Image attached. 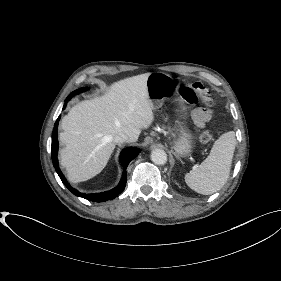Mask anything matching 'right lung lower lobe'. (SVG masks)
<instances>
[{"label": "right lung lower lobe", "instance_id": "obj_1", "mask_svg": "<svg viewBox=\"0 0 281 281\" xmlns=\"http://www.w3.org/2000/svg\"><path fill=\"white\" fill-rule=\"evenodd\" d=\"M72 98V95H69L66 98V102L69 101ZM66 107V105H64L63 109ZM60 117H58L57 121L55 122L54 125V129L52 132V150H51V156H52V161H53V165L54 168L56 170V172L58 173L61 181L63 182V184L76 196L85 198L87 200L90 201H94V202H104L107 200H112L115 197H117L120 193L123 192L125 186H126V167L128 166V164L130 163V161H132L140 152L139 149L137 148H127L124 149L120 155V161L122 166L124 167V172H123V176L120 180V183L118 184L117 187H115L113 190L107 191V192H102V193H95V194H83L80 193L79 191H77L76 189L72 188L69 183L67 182L66 178L63 176L60 168H59V164H58V159H57V152H58V139H57V126H58V121L60 120Z\"/></svg>", "mask_w": 281, "mask_h": 281}]
</instances>
